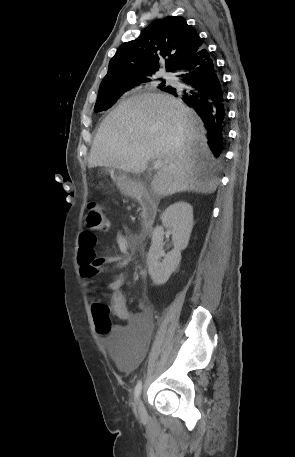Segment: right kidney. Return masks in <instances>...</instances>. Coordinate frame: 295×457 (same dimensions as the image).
Masks as SVG:
<instances>
[{
    "instance_id": "right-kidney-1",
    "label": "right kidney",
    "mask_w": 295,
    "mask_h": 457,
    "mask_svg": "<svg viewBox=\"0 0 295 457\" xmlns=\"http://www.w3.org/2000/svg\"><path fill=\"white\" fill-rule=\"evenodd\" d=\"M161 220L162 226L153 230L147 256L149 275L155 285L166 283L181 261V251L188 245L194 224L193 207L184 201L176 202L163 212ZM164 227L170 230L174 245L168 254L163 250Z\"/></svg>"
}]
</instances>
